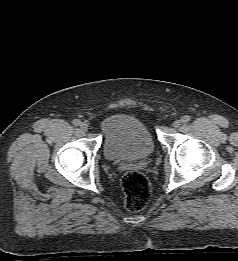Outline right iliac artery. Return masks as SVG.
<instances>
[{
  "label": "right iliac artery",
  "mask_w": 238,
  "mask_h": 261,
  "mask_svg": "<svg viewBox=\"0 0 238 261\" xmlns=\"http://www.w3.org/2000/svg\"><path fill=\"white\" fill-rule=\"evenodd\" d=\"M72 123L74 126H79L81 124L80 120H78V119L73 120Z\"/></svg>",
  "instance_id": "obj_1"
}]
</instances>
